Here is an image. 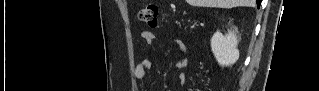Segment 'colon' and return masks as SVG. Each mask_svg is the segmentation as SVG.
<instances>
[{
	"label": "colon",
	"mask_w": 319,
	"mask_h": 91,
	"mask_svg": "<svg viewBox=\"0 0 319 91\" xmlns=\"http://www.w3.org/2000/svg\"><path fill=\"white\" fill-rule=\"evenodd\" d=\"M158 7L154 3H149L142 7L138 12L140 21L148 24L150 27H157Z\"/></svg>",
	"instance_id": "colon-1"
}]
</instances>
